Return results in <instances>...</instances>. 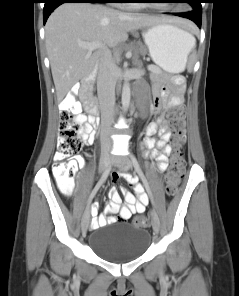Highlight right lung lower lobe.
I'll return each instance as SVG.
<instances>
[{"label": "right lung lower lobe", "instance_id": "98d812e1", "mask_svg": "<svg viewBox=\"0 0 239 296\" xmlns=\"http://www.w3.org/2000/svg\"><path fill=\"white\" fill-rule=\"evenodd\" d=\"M108 0H44L45 6L43 9L44 24L51 12L62 3H107Z\"/></svg>", "mask_w": 239, "mask_h": 296}]
</instances>
